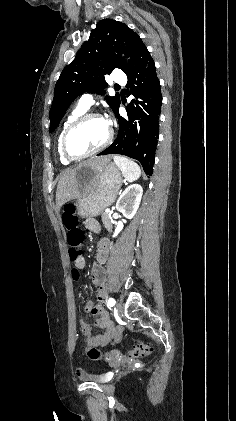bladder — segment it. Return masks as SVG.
<instances>
[{
    "instance_id": "obj_1",
    "label": "bladder",
    "mask_w": 236,
    "mask_h": 421,
    "mask_svg": "<svg viewBox=\"0 0 236 421\" xmlns=\"http://www.w3.org/2000/svg\"><path fill=\"white\" fill-rule=\"evenodd\" d=\"M79 380L87 381V382L95 381L99 383H104L105 378L102 375H95L91 372H81Z\"/></svg>"
}]
</instances>
